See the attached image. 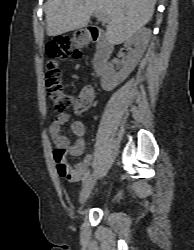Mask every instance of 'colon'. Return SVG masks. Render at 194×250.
Here are the masks:
<instances>
[{
  "label": "colon",
  "instance_id": "5ec220e1",
  "mask_svg": "<svg viewBox=\"0 0 194 250\" xmlns=\"http://www.w3.org/2000/svg\"><path fill=\"white\" fill-rule=\"evenodd\" d=\"M46 54L48 57L46 89L54 109L59 113L74 109L77 105V99L65 90L61 82L60 59L80 60L84 57L78 38L76 36L61 37L46 46ZM65 154L63 149L54 150V157L59 160L60 167L64 172L67 170Z\"/></svg>",
  "mask_w": 194,
  "mask_h": 250
}]
</instances>
